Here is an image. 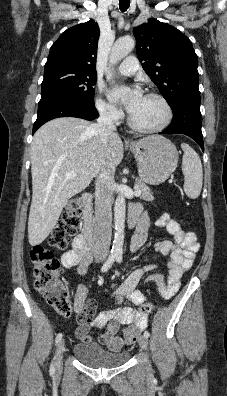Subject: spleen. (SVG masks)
Returning a JSON list of instances; mask_svg holds the SVG:
<instances>
[{
  "instance_id": "spleen-1",
  "label": "spleen",
  "mask_w": 227,
  "mask_h": 396,
  "mask_svg": "<svg viewBox=\"0 0 227 396\" xmlns=\"http://www.w3.org/2000/svg\"><path fill=\"white\" fill-rule=\"evenodd\" d=\"M184 151L182 171L185 177L184 191L191 199H196L201 193L203 170L199 155L186 143L181 144Z\"/></svg>"
}]
</instances>
